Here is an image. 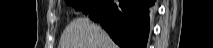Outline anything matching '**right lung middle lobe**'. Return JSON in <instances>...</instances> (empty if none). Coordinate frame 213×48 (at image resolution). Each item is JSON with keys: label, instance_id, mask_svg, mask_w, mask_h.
<instances>
[{"label": "right lung middle lobe", "instance_id": "obj_1", "mask_svg": "<svg viewBox=\"0 0 213 48\" xmlns=\"http://www.w3.org/2000/svg\"><path fill=\"white\" fill-rule=\"evenodd\" d=\"M97 0H66V4L74 7L76 10H82L85 14Z\"/></svg>", "mask_w": 213, "mask_h": 48}]
</instances>
